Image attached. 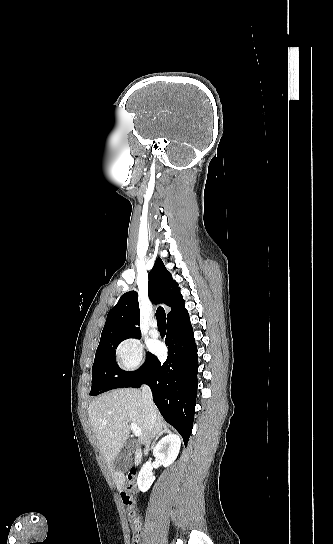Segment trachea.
Instances as JSON below:
<instances>
[{
    "label": "trachea",
    "instance_id": "trachea-1",
    "mask_svg": "<svg viewBox=\"0 0 333 544\" xmlns=\"http://www.w3.org/2000/svg\"><path fill=\"white\" fill-rule=\"evenodd\" d=\"M156 319L159 329H166V313L162 307H158L156 311Z\"/></svg>",
    "mask_w": 333,
    "mask_h": 544
}]
</instances>
